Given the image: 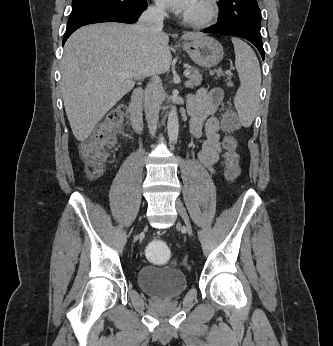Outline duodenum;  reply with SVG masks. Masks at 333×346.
<instances>
[{
	"instance_id": "duodenum-1",
	"label": "duodenum",
	"mask_w": 333,
	"mask_h": 346,
	"mask_svg": "<svg viewBox=\"0 0 333 346\" xmlns=\"http://www.w3.org/2000/svg\"><path fill=\"white\" fill-rule=\"evenodd\" d=\"M144 91L136 88L132 94L129 103V118L135 132H141L143 128L142 100Z\"/></svg>"
}]
</instances>
